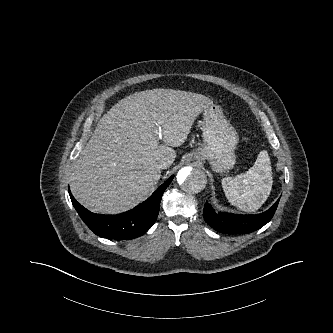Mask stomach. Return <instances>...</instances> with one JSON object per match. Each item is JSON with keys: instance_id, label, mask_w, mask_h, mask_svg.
<instances>
[{"instance_id": "obj_1", "label": "stomach", "mask_w": 333, "mask_h": 333, "mask_svg": "<svg viewBox=\"0 0 333 333\" xmlns=\"http://www.w3.org/2000/svg\"><path fill=\"white\" fill-rule=\"evenodd\" d=\"M203 144L196 149V160H208L215 172H225L233 168L234 154L239 141L235 128L224 116L221 108L212 104L203 110Z\"/></svg>"}]
</instances>
